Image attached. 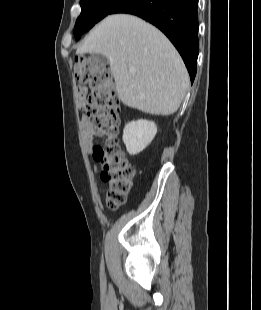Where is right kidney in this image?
I'll return each instance as SVG.
<instances>
[{
	"mask_svg": "<svg viewBox=\"0 0 261 310\" xmlns=\"http://www.w3.org/2000/svg\"><path fill=\"white\" fill-rule=\"evenodd\" d=\"M157 133V126L153 121L137 120L125 125L123 142L130 155H137L153 140Z\"/></svg>",
	"mask_w": 261,
	"mask_h": 310,
	"instance_id": "ca27d5eb",
	"label": "right kidney"
}]
</instances>
